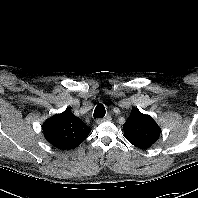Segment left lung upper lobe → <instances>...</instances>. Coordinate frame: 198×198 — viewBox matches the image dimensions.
I'll list each match as a JSON object with an SVG mask.
<instances>
[{"label":"left lung upper lobe","mask_w":198,"mask_h":198,"mask_svg":"<svg viewBox=\"0 0 198 198\" xmlns=\"http://www.w3.org/2000/svg\"><path fill=\"white\" fill-rule=\"evenodd\" d=\"M125 138L134 146L147 149L154 144L160 136V128L153 118L134 108L123 125Z\"/></svg>","instance_id":"5c2ea615"}]
</instances>
